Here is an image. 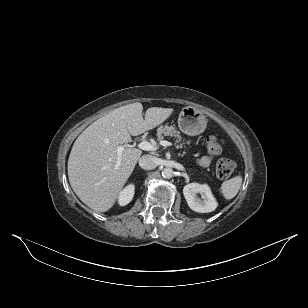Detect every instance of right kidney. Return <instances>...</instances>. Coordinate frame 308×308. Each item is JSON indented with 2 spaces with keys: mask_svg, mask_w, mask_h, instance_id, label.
Returning <instances> with one entry per match:
<instances>
[{
  "mask_svg": "<svg viewBox=\"0 0 308 308\" xmlns=\"http://www.w3.org/2000/svg\"><path fill=\"white\" fill-rule=\"evenodd\" d=\"M135 186L133 184H129L125 189L121 192L118 203L120 206L127 205L134 196Z\"/></svg>",
  "mask_w": 308,
  "mask_h": 308,
  "instance_id": "ca27d5eb",
  "label": "right kidney"
}]
</instances>
